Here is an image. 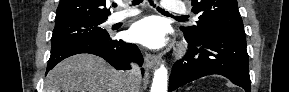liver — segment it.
Returning <instances> with one entry per match:
<instances>
[{"mask_svg":"<svg viewBox=\"0 0 289 92\" xmlns=\"http://www.w3.org/2000/svg\"><path fill=\"white\" fill-rule=\"evenodd\" d=\"M45 92H129L125 72L104 59L78 54L60 62L45 80ZM138 92V89L136 91Z\"/></svg>","mask_w":289,"mask_h":92,"instance_id":"1","label":"liver"}]
</instances>
